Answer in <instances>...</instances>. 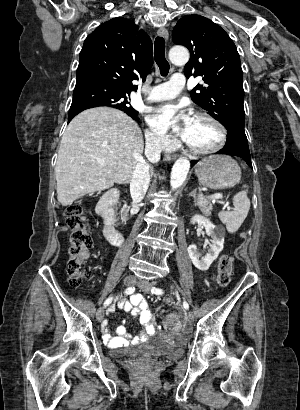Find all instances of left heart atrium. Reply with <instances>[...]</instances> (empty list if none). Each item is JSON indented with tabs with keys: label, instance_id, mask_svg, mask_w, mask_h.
<instances>
[{
	"label": "left heart atrium",
	"instance_id": "obj_1",
	"mask_svg": "<svg viewBox=\"0 0 300 410\" xmlns=\"http://www.w3.org/2000/svg\"><path fill=\"white\" fill-rule=\"evenodd\" d=\"M195 117L182 104H165L157 107L151 118V125L160 131H166L174 125H179L178 135L187 141Z\"/></svg>",
	"mask_w": 300,
	"mask_h": 410
}]
</instances>
